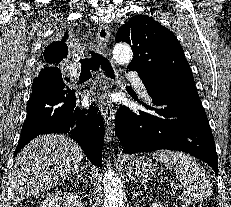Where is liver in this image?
I'll return each mask as SVG.
<instances>
[{
	"label": "liver",
	"instance_id": "1",
	"mask_svg": "<svg viewBox=\"0 0 231 207\" xmlns=\"http://www.w3.org/2000/svg\"><path fill=\"white\" fill-rule=\"evenodd\" d=\"M83 157L82 149L69 136L47 134L32 140L17 155L10 174L14 204L66 179L79 168Z\"/></svg>",
	"mask_w": 231,
	"mask_h": 207
}]
</instances>
